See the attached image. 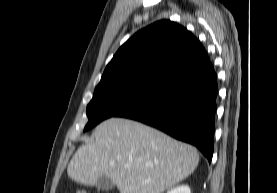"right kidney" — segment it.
<instances>
[{
	"label": "right kidney",
	"instance_id": "right-kidney-1",
	"mask_svg": "<svg viewBox=\"0 0 277 193\" xmlns=\"http://www.w3.org/2000/svg\"><path fill=\"white\" fill-rule=\"evenodd\" d=\"M167 193H191V190L189 186L181 185L167 191Z\"/></svg>",
	"mask_w": 277,
	"mask_h": 193
}]
</instances>
